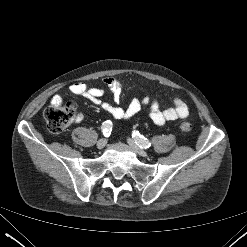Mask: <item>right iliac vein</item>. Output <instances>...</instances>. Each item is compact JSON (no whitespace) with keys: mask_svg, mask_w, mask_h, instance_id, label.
Listing matches in <instances>:
<instances>
[{"mask_svg":"<svg viewBox=\"0 0 247 247\" xmlns=\"http://www.w3.org/2000/svg\"><path fill=\"white\" fill-rule=\"evenodd\" d=\"M107 144V139L102 138L97 142V148L98 149H103Z\"/></svg>","mask_w":247,"mask_h":247,"instance_id":"right-iliac-vein-1","label":"right iliac vein"}]
</instances>
